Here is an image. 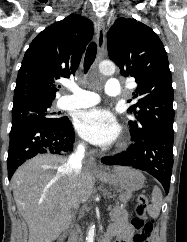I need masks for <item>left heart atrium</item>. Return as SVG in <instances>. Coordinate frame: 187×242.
<instances>
[{"label": "left heart atrium", "instance_id": "left-heart-atrium-1", "mask_svg": "<svg viewBox=\"0 0 187 242\" xmlns=\"http://www.w3.org/2000/svg\"><path fill=\"white\" fill-rule=\"evenodd\" d=\"M75 126L84 139L97 145L112 143L120 132L114 115L102 108H91L79 112L76 116Z\"/></svg>", "mask_w": 187, "mask_h": 242}]
</instances>
